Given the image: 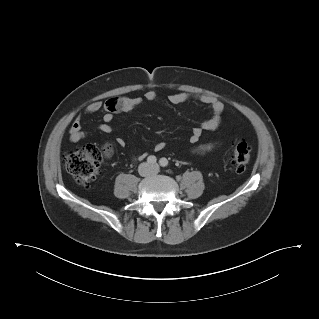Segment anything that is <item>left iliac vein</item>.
Returning <instances> with one entry per match:
<instances>
[{"instance_id":"left-iliac-vein-1","label":"left iliac vein","mask_w":319,"mask_h":319,"mask_svg":"<svg viewBox=\"0 0 319 319\" xmlns=\"http://www.w3.org/2000/svg\"><path fill=\"white\" fill-rule=\"evenodd\" d=\"M152 167H153L154 172H158V170H159L158 165L154 164Z\"/></svg>"}]
</instances>
